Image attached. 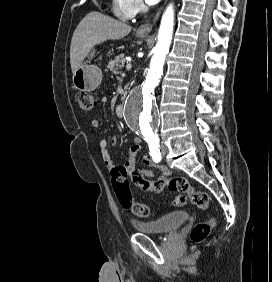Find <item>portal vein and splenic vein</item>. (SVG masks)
<instances>
[{"mask_svg":"<svg viewBox=\"0 0 272 282\" xmlns=\"http://www.w3.org/2000/svg\"><path fill=\"white\" fill-rule=\"evenodd\" d=\"M132 68V65L130 64V63H128L127 65H126V69L127 70H130Z\"/></svg>","mask_w":272,"mask_h":282,"instance_id":"18ae733b","label":"portal vein and splenic vein"}]
</instances>
